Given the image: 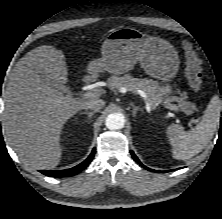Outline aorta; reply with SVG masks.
<instances>
[{
  "mask_svg": "<svg viewBox=\"0 0 222 219\" xmlns=\"http://www.w3.org/2000/svg\"><path fill=\"white\" fill-rule=\"evenodd\" d=\"M105 125L110 130L122 129L125 125L124 116L120 113H112L106 117Z\"/></svg>",
  "mask_w": 222,
  "mask_h": 219,
  "instance_id": "1",
  "label": "aorta"
}]
</instances>
